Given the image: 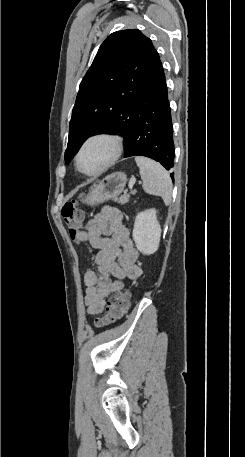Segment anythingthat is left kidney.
Here are the masks:
<instances>
[{"label": "left kidney", "instance_id": "5707ae66", "mask_svg": "<svg viewBox=\"0 0 245 457\" xmlns=\"http://www.w3.org/2000/svg\"><path fill=\"white\" fill-rule=\"evenodd\" d=\"M156 212L155 208H148L138 212L135 218L132 237L138 251L143 255H153L159 247L161 226Z\"/></svg>", "mask_w": 245, "mask_h": 457}]
</instances>
